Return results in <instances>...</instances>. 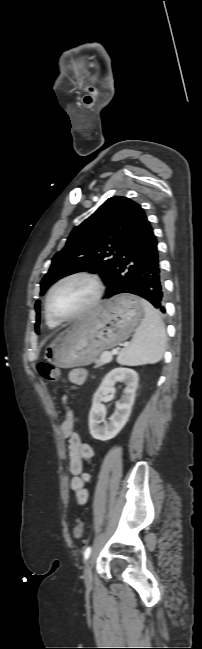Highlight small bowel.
Listing matches in <instances>:
<instances>
[{
    "instance_id": "small-bowel-1",
    "label": "small bowel",
    "mask_w": 202,
    "mask_h": 649,
    "mask_svg": "<svg viewBox=\"0 0 202 649\" xmlns=\"http://www.w3.org/2000/svg\"><path fill=\"white\" fill-rule=\"evenodd\" d=\"M87 378L84 368H75L69 373V380L74 385H82ZM75 415L73 408L65 406L60 426L61 436L67 441L66 454L68 456V469L73 476L71 488L74 490L77 501L84 504L88 498L85 485L90 481L91 474L83 472V462L92 458L93 451L90 446L81 441L79 434L74 431Z\"/></svg>"
}]
</instances>
